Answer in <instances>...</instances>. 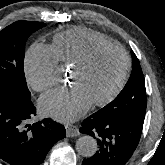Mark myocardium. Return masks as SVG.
I'll list each match as a JSON object with an SVG mask.
<instances>
[{"label":"myocardium","mask_w":165,"mask_h":165,"mask_svg":"<svg viewBox=\"0 0 165 165\" xmlns=\"http://www.w3.org/2000/svg\"><path fill=\"white\" fill-rule=\"evenodd\" d=\"M107 49L116 50L122 54L123 69L113 89L103 98L97 99L91 102V104L94 106H102L109 103L111 100H113L117 96V94L120 92V90L124 86L127 76H128L129 68H130V59L127 52L122 47L115 45L113 43L96 45L80 61H78L73 66V69H76V70L85 69L86 67L89 66V64L92 62V60L95 58V56L99 52L103 50H107Z\"/></svg>","instance_id":"myocardium-1"}]
</instances>
